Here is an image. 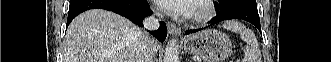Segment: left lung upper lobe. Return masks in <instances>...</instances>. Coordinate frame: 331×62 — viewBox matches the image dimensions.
Here are the masks:
<instances>
[{"instance_id":"1","label":"left lung upper lobe","mask_w":331,"mask_h":62,"mask_svg":"<svg viewBox=\"0 0 331 62\" xmlns=\"http://www.w3.org/2000/svg\"><path fill=\"white\" fill-rule=\"evenodd\" d=\"M243 4L252 8H257L256 0H218V6L221 10L228 8L231 5Z\"/></svg>"}]
</instances>
